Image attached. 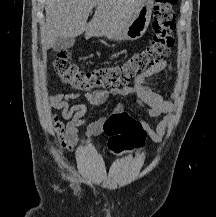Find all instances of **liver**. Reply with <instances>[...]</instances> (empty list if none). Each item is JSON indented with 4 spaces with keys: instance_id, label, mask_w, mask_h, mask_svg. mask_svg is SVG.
<instances>
[{
    "instance_id": "6515ba94",
    "label": "liver",
    "mask_w": 216,
    "mask_h": 217,
    "mask_svg": "<svg viewBox=\"0 0 216 217\" xmlns=\"http://www.w3.org/2000/svg\"><path fill=\"white\" fill-rule=\"evenodd\" d=\"M141 0H46L42 45L51 48L58 37L83 34L110 38L135 13ZM96 7L87 23L89 13Z\"/></svg>"
}]
</instances>
